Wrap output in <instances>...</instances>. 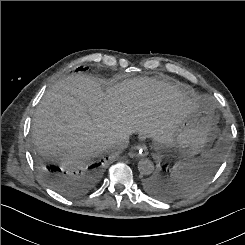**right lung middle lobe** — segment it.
<instances>
[{
  "mask_svg": "<svg viewBox=\"0 0 245 245\" xmlns=\"http://www.w3.org/2000/svg\"><path fill=\"white\" fill-rule=\"evenodd\" d=\"M86 69H88L87 67L86 68H82V67H80V68H78L77 69V71H79V70H86ZM86 168H84L83 170H85ZM83 170H81V171H83ZM80 172V171H79Z\"/></svg>",
  "mask_w": 245,
  "mask_h": 245,
  "instance_id": "obj_1",
  "label": "right lung middle lobe"
}]
</instances>
